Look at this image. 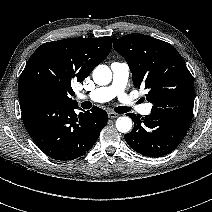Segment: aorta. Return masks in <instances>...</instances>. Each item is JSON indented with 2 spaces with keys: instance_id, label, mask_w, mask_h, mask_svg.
Masks as SVG:
<instances>
[{
  "instance_id": "obj_1",
  "label": "aorta",
  "mask_w": 212,
  "mask_h": 212,
  "mask_svg": "<svg viewBox=\"0 0 212 212\" xmlns=\"http://www.w3.org/2000/svg\"><path fill=\"white\" fill-rule=\"evenodd\" d=\"M93 80L98 85H107L112 80V72L107 65H98L92 73ZM116 128L121 133H128L132 129V120L128 116L118 117Z\"/></svg>"
}]
</instances>
